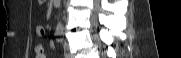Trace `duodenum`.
Wrapping results in <instances>:
<instances>
[{
  "label": "duodenum",
  "mask_w": 181,
  "mask_h": 58,
  "mask_svg": "<svg viewBox=\"0 0 181 58\" xmlns=\"http://www.w3.org/2000/svg\"><path fill=\"white\" fill-rule=\"evenodd\" d=\"M52 2H53V4H54V6H59L60 5V0H52Z\"/></svg>",
  "instance_id": "1"
}]
</instances>
